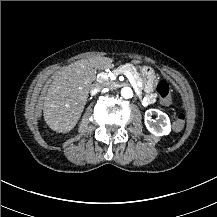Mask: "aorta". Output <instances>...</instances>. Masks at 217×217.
<instances>
[{"mask_svg":"<svg viewBox=\"0 0 217 217\" xmlns=\"http://www.w3.org/2000/svg\"><path fill=\"white\" fill-rule=\"evenodd\" d=\"M121 96L124 99H130L133 96L132 89L130 87H123L121 89Z\"/></svg>","mask_w":217,"mask_h":217,"instance_id":"obj_1","label":"aorta"}]
</instances>
